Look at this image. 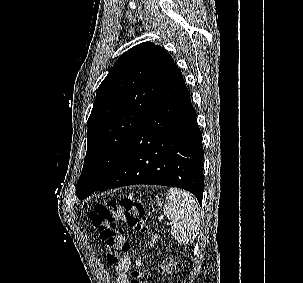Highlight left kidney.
Here are the masks:
<instances>
[{"label": "left kidney", "mask_w": 303, "mask_h": 283, "mask_svg": "<svg viewBox=\"0 0 303 283\" xmlns=\"http://www.w3.org/2000/svg\"><path fill=\"white\" fill-rule=\"evenodd\" d=\"M175 266L174 261L172 259L166 261V265H164V268L166 267V269H173V267Z\"/></svg>", "instance_id": "left-kidney-1"}]
</instances>
